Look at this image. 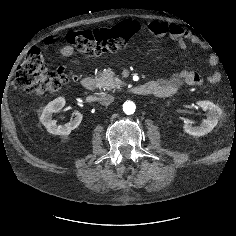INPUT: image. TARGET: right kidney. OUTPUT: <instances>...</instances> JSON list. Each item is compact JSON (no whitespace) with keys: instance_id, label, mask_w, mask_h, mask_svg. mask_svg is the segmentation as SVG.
I'll return each instance as SVG.
<instances>
[{"instance_id":"1","label":"right kidney","mask_w":236,"mask_h":236,"mask_svg":"<svg viewBox=\"0 0 236 236\" xmlns=\"http://www.w3.org/2000/svg\"><path fill=\"white\" fill-rule=\"evenodd\" d=\"M65 106V99L59 97L50 102L43 110L40 121L46 127L47 131L55 135H69L72 130L77 128L82 121V114L74 111L75 118L64 126L57 125L53 120V114L59 112Z\"/></svg>"}]
</instances>
